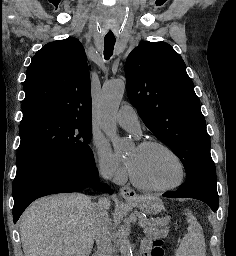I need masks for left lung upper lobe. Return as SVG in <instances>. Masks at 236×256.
Listing matches in <instances>:
<instances>
[{
    "label": "left lung upper lobe",
    "instance_id": "left-lung-upper-lobe-1",
    "mask_svg": "<svg viewBox=\"0 0 236 256\" xmlns=\"http://www.w3.org/2000/svg\"><path fill=\"white\" fill-rule=\"evenodd\" d=\"M127 94L144 124L181 160L186 180L216 182L210 137L183 59L165 42H141L125 64Z\"/></svg>",
    "mask_w": 236,
    "mask_h": 256
}]
</instances>
